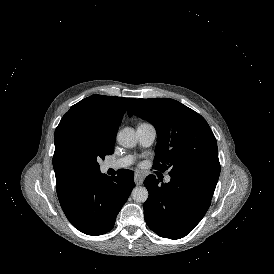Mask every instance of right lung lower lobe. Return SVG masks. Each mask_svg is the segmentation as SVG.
<instances>
[{"mask_svg": "<svg viewBox=\"0 0 274 274\" xmlns=\"http://www.w3.org/2000/svg\"><path fill=\"white\" fill-rule=\"evenodd\" d=\"M134 173L123 169L108 177L100 171L88 174L57 193L68 220L82 233L102 235L109 232L116 216L127 201Z\"/></svg>", "mask_w": 274, "mask_h": 274, "instance_id": "obj_1", "label": "right lung lower lobe"}]
</instances>
